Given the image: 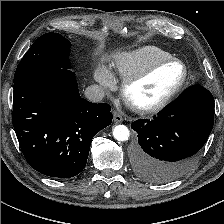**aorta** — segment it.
I'll use <instances>...</instances> for the list:
<instances>
[{
  "instance_id": "762f6f07",
  "label": "aorta",
  "mask_w": 224,
  "mask_h": 224,
  "mask_svg": "<svg viewBox=\"0 0 224 224\" xmlns=\"http://www.w3.org/2000/svg\"><path fill=\"white\" fill-rule=\"evenodd\" d=\"M113 136L118 141H127L130 136V132L125 125H117L113 129Z\"/></svg>"
}]
</instances>
